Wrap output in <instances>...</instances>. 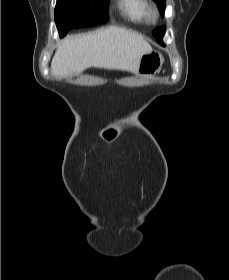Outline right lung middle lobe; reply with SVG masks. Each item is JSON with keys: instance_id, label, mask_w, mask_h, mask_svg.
<instances>
[{"instance_id": "dd1d6c3e", "label": "right lung middle lobe", "mask_w": 229, "mask_h": 280, "mask_svg": "<svg viewBox=\"0 0 229 280\" xmlns=\"http://www.w3.org/2000/svg\"><path fill=\"white\" fill-rule=\"evenodd\" d=\"M109 0H57L55 23L63 37L70 29L108 21Z\"/></svg>"}]
</instances>
